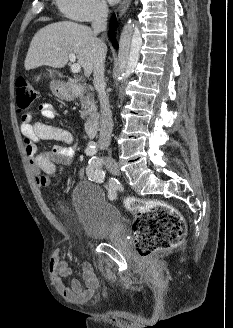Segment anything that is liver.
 I'll return each mask as SVG.
<instances>
[{"label":"liver","instance_id":"liver-1","mask_svg":"<svg viewBox=\"0 0 233 328\" xmlns=\"http://www.w3.org/2000/svg\"><path fill=\"white\" fill-rule=\"evenodd\" d=\"M97 35L90 27L72 21L49 24L34 35L25 58V69L29 71L43 65L62 68L68 63L69 54L74 53L84 74L89 76L97 58L107 52Z\"/></svg>","mask_w":233,"mask_h":328}]
</instances>
